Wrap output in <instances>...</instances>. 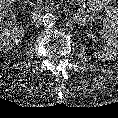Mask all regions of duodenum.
Returning a JSON list of instances; mask_svg holds the SVG:
<instances>
[{"label": "duodenum", "mask_w": 118, "mask_h": 118, "mask_svg": "<svg viewBox=\"0 0 118 118\" xmlns=\"http://www.w3.org/2000/svg\"><path fill=\"white\" fill-rule=\"evenodd\" d=\"M43 12V9L41 7H36L34 10L35 15L40 16Z\"/></svg>", "instance_id": "obj_1"}]
</instances>
